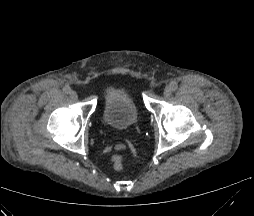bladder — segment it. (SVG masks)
Here are the masks:
<instances>
[{
    "mask_svg": "<svg viewBox=\"0 0 254 216\" xmlns=\"http://www.w3.org/2000/svg\"><path fill=\"white\" fill-rule=\"evenodd\" d=\"M103 119L112 129L122 132L137 120V107L132 92L123 86H111L103 95Z\"/></svg>",
    "mask_w": 254,
    "mask_h": 216,
    "instance_id": "1",
    "label": "bladder"
}]
</instances>
